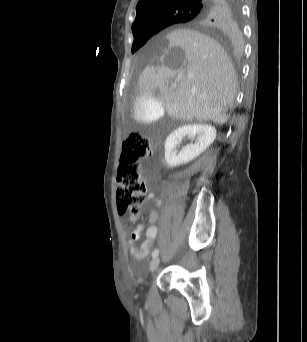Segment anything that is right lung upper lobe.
<instances>
[{
	"label": "right lung upper lobe",
	"mask_w": 307,
	"mask_h": 342,
	"mask_svg": "<svg viewBox=\"0 0 307 342\" xmlns=\"http://www.w3.org/2000/svg\"><path fill=\"white\" fill-rule=\"evenodd\" d=\"M233 5L232 0H140L136 6L137 15L132 32L134 35L157 28L164 29L170 26L165 25L170 14L193 9L197 11L196 16L186 22L205 34L224 39L231 32Z\"/></svg>",
	"instance_id": "obj_1"
}]
</instances>
